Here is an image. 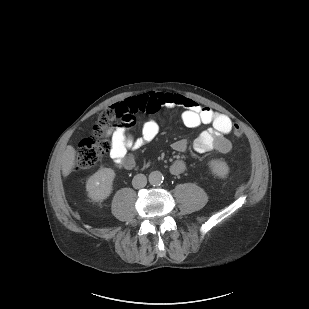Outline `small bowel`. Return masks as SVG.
Returning <instances> with one entry per match:
<instances>
[{
    "label": "small bowel",
    "instance_id": "obj_1",
    "mask_svg": "<svg viewBox=\"0 0 309 309\" xmlns=\"http://www.w3.org/2000/svg\"><path fill=\"white\" fill-rule=\"evenodd\" d=\"M122 107L130 113L144 111L157 113L162 108L182 107V121L185 126L194 128L201 123L211 124V127L201 133L193 143V148L198 153L215 150L220 153H228L231 143L227 135L232 130L231 120L224 114L217 113L208 107H204L195 101L179 94L150 92L128 98L122 102ZM160 132V126L155 120H147L141 128L140 135L133 137L128 133V128H116L111 133L110 157L118 167L131 169L135 165L134 157L128 153L130 149H140L153 141ZM177 152H185L187 141L178 139L173 143ZM185 169L182 160L175 161L170 166V174L180 175Z\"/></svg>",
    "mask_w": 309,
    "mask_h": 309
}]
</instances>
